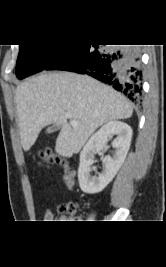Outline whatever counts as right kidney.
<instances>
[{
    "label": "right kidney",
    "mask_w": 166,
    "mask_h": 267,
    "mask_svg": "<svg viewBox=\"0 0 166 267\" xmlns=\"http://www.w3.org/2000/svg\"><path fill=\"white\" fill-rule=\"evenodd\" d=\"M117 135L112 146L115 148L113 157H102L103 169L98 175L92 176L91 166L94 163L96 153L108 149L109 136ZM132 129L129 125L120 121H110L103 125L91 136L80 153V164L78 168V181L81 190L88 194L102 191L117 174L122 166L130 148Z\"/></svg>",
    "instance_id": "ca27d5eb"
}]
</instances>
